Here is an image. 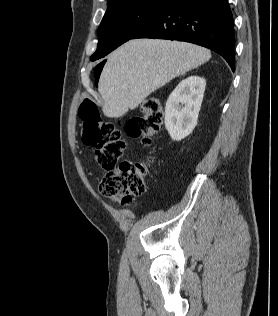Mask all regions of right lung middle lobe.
Returning <instances> with one entry per match:
<instances>
[{"instance_id": "dd1d6c3e", "label": "right lung middle lobe", "mask_w": 278, "mask_h": 316, "mask_svg": "<svg viewBox=\"0 0 278 316\" xmlns=\"http://www.w3.org/2000/svg\"><path fill=\"white\" fill-rule=\"evenodd\" d=\"M166 1L108 0V9L98 30L97 50L91 56V61L106 56L124 42L132 39L157 15Z\"/></svg>"}]
</instances>
